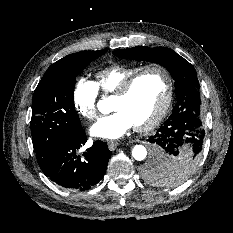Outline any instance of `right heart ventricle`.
Returning <instances> with one entry per match:
<instances>
[{
  "instance_id": "e07e8e85",
  "label": "right heart ventricle",
  "mask_w": 233,
  "mask_h": 233,
  "mask_svg": "<svg viewBox=\"0 0 233 233\" xmlns=\"http://www.w3.org/2000/svg\"><path fill=\"white\" fill-rule=\"evenodd\" d=\"M140 66L111 65L95 74V84L103 94H113L121 83L137 72Z\"/></svg>"
}]
</instances>
